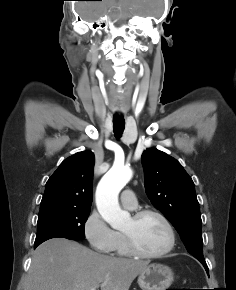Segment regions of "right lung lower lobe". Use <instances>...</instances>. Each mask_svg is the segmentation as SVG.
<instances>
[{
	"instance_id": "98d812e1",
	"label": "right lung lower lobe",
	"mask_w": 236,
	"mask_h": 290,
	"mask_svg": "<svg viewBox=\"0 0 236 290\" xmlns=\"http://www.w3.org/2000/svg\"><path fill=\"white\" fill-rule=\"evenodd\" d=\"M38 245H34V249L37 247Z\"/></svg>"
}]
</instances>
